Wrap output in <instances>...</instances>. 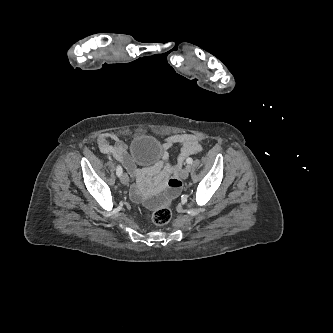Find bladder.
<instances>
[{"label":"bladder","instance_id":"1","mask_svg":"<svg viewBox=\"0 0 333 333\" xmlns=\"http://www.w3.org/2000/svg\"><path fill=\"white\" fill-rule=\"evenodd\" d=\"M161 142L152 135L142 134L134 137L130 145L132 159L140 164H152L162 156Z\"/></svg>","mask_w":333,"mask_h":333}]
</instances>
